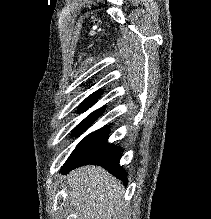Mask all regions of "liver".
Returning <instances> with one entry per match:
<instances>
[{"mask_svg":"<svg viewBox=\"0 0 211 219\" xmlns=\"http://www.w3.org/2000/svg\"><path fill=\"white\" fill-rule=\"evenodd\" d=\"M65 187L77 219H117L123 206L121 182L99 166L71 171Z\"/></svg>","mask_w":211,"mask_h":219,"instance_id":"1","label":"liver"}]
</instances>
